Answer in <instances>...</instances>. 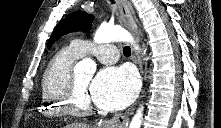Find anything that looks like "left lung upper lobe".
<instances>
[{
	"mask_svg": "<svg viewBox=\"0 0 221 128\" xmlns=\"http://www.w3.org/2000/svg\"><path fill=\"white\" fill-rule=\"evenodd\" d=\"M93 17L86 12L76 11L65 17L59 24L55 27L53 34L49 40L48 47L57 40L60 36L69 33L82 31L87 33L92 27Z\"/></svg>",
	"mask_w": 221,
	"mask_h": 128,
	"instance_id": "5c2ea615",
	"label": "left lung upper lobe"
}]
</instances>
